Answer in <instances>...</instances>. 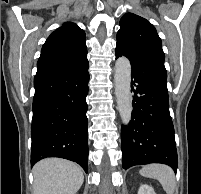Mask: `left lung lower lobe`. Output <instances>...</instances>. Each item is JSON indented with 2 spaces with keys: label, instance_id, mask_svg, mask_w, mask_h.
<instances>
[{
  "label": "left lung lower lobe",
  "instance_id": "obj_1",
  "mask_svg": "<svg viewBox=\"0 0 201 194\" xmlns=\"http://www.w3.org/2000/svg\"><path fill=\"white\" fill-rule=\"evenodd\" d=\"M116 58L123 56L115 50ZM132 120L121 129L122 166L163 163L177 170L174 127L169 112L166 70L131 61Z\"/></svg>",
  "mask_w": 201,
  "mask_h": 194
}]
</instances>
